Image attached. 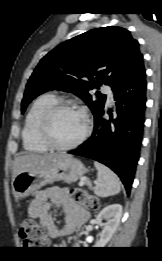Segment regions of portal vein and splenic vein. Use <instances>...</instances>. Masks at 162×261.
<instances>
[{"instance_id": "18ae733b", "label": "portal vein and splenic vein", "mask_w": 162, "mask_h": 261, "mask_svg": "<svg viewBox=\"0 0 162 261\" xmlns=\"http://www.w3.org/2000/svg\"><path fill=\"white\" fill-rule=\"evenodd\" d=\"M84 184V180H81L79 185L82 186Z\"/></svg>"}]
</instances>
